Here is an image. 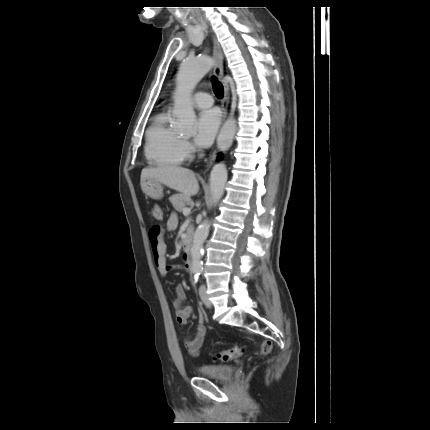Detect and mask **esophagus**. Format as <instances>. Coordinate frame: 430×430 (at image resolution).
<instances>
[{"instance_id":"34e87169","label":"esophagus","mask_w":430,"mask_h":430,"mask_svg":"<svg viewBox=\"0 0 430 430\" xmlns=\"http://www.w3.org/2000/svg\"><path fill=\"white\" fill-rule=\"evenodd\" d=\"M213 59H214V68L213 72L214 74L224 83V100L222 103V120L224 121L228 114V104L230 99L229 94V87L224 82V71H223V53L221 46L217 39L213 37ZM216 158L215 151L209 156V158L206 161V168H210Z\"/></svg>"}]
</instances>
